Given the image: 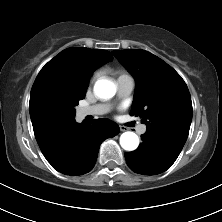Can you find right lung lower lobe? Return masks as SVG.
<instances>
[{
  "label": "right lung lower lobe",
  "instance_id": "1",
  "mask_svg": "<svg viewBox=\"0 0 222 222\" xmlns=\"http://www.w3.org/2000/svg\"><path fill=\"white\" fill-rule=\"evenodd\" d=\"M118 133V125L108 119H96L92 125L74 120L59 125L40 149L60 173L82 175L94 167L100 144Z\"/></svg>",
  "mask_w": 222,
  "mask_h": 222
}]
</instances>
